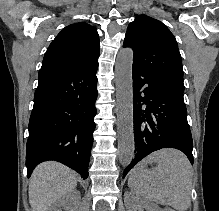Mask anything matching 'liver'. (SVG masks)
<instances>
[{
  "label": "liver",
  "mask_w": 219,
  "mask_h": 211,
  "mask_svg": "<svg viewBox=\"0 0 219 211\" xmlns=\"http://www.w3.org/2000/svg\"><path fill=\"white\" fill-rule=\"evenodd\" d=\"M78 177L76 171L59 163L43 161L39 163L30 177L29 203L35 211H47L56 199L74 191Z\"/></svg>",
  "instance_id": "liver-1"
}]
</instances>
